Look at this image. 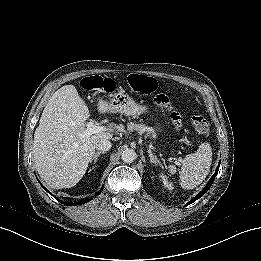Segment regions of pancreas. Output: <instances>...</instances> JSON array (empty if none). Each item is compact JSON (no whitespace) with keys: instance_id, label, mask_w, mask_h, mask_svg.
Masks as SVG:
<instances>
[{"instance_id":"cf45deb5","label":"pancreas","mask_w":261,"mask_h":261,"mask_svg":"<svg viewBox=\"0 0 261 261\" xmlns=\"http://www.w3.org/2000/svg\"><path fill=\"white\" fill-rule=\"evenodd\" d=\"M127 129L128 131H138L139 133H145L146 135L154 133V130L151 127L144 124H137L132 122L127 125Z\"/></svg>"}]
</instances>
